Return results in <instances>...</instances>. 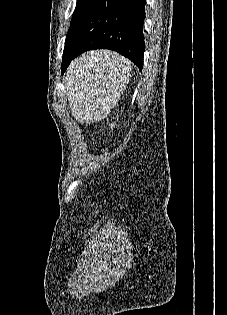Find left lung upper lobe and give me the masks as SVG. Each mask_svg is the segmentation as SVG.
I'll return each instance as SVG.
<instances>
[{
    "instance_id": "5c2ea615",
    "label": "left lung upper lobe",
    "mask_w": 227,
    "mask_h": 315,
    "mask_svg": "<svg viewBox=\"0 0 227 315\" xmlns=\"http://www.w3.org/2000/svg\"><path fill=\"white\" fill-rule=\"evenodd\" d=\"M97 1L98 0H77L67 38L73 31L77 22L80 21L91 10Z\"/></svg>"
}]
</instances>
